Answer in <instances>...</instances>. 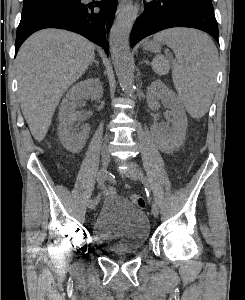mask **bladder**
I'll return each mask as SVG.
<instances>
[{"mask_svg": "<svg viewBox=\"0 0 245 300\" xmlns=\"http://www.w3.org/2000/svg\"><path fill=\"white\" fill-rule=\"evenodd\" d=\"M150 235L146 214L119 195H109L92 224L95 242L114 253L134 252L145 246Z\"/></svg>", "mask_w": 245, "mask_h": 300, "instance_id": "31cf9c89", "label": "bladder"}]
</instances>
